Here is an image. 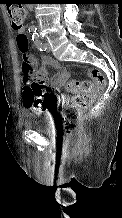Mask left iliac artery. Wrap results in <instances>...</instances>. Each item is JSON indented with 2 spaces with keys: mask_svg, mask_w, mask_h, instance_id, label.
<instances>
[{
  "mask_svg": "<svg viewBox=\"0 0 122 218\" xmlns=\"http://www.w3.org/2000/svg\"><path fill=\"white\" fill-rule=\"evenodd\" d=\"M32 40L34 41L35 46L37 47L38 50L40 51H46V47L43 44V42L41 41L39 34L38 33H34L32 35Z\"/></svg>",
  "mask_w": 122,
  "mask_h": 218,
  "instance_id": "1",
  "label": "left iliac artery"
}]
</instances>
